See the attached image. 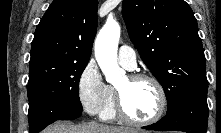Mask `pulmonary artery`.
Masks as SVG:
<instances>
[{
  "mask_svg": "<svg viewBox=\"0 0 221 133\" xmlns=\"http://www.w3.org/2000/svg\"><path fill=\"white\" fill-rule=\"evenodd\" d=\"M118 62L128 70L136 67V53L129 46H121L118 51Z\"/></svg>",
  "mask_w": 221,
  "mask_h": 133,
  "instance_id": "obj_1",
  "label": "pulmonary artery"
}]
</instances>
